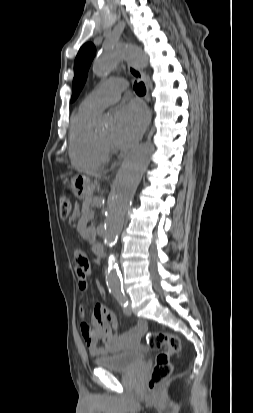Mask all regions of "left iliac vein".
Returning <instances> with one entry per match:
<instances>
[{
  "label": "left iliac vein",
  "instance_id": "left-iliac-vein-1",
  "mask_svg": "<svg viewBox=\"0 0 253 413\" xmlns=\"http://www.w3.org/2000/svg\"><path fill=\"white\" fill-rule=\"evenodd\" d=\"M127 300H128V305L123 309V312L126 315H131L132 309H131V306H130V300L128 298H127Z\"/></svg>",
  "mask_w": 253,
  "mask_h": 413
}]
</instances>
